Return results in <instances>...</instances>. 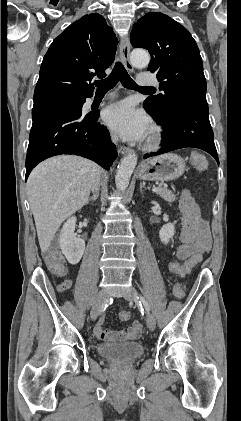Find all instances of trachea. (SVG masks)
Wrapping results in <instances>:
<instances>
[{
    "label": "trachea",
    "mask_w": 241,
    "mask_h": 421,
    "mask_svg": "<svg viewBox=\"0 0 241 421\" xmlns=\"http://www.w3.org/2000/svg\"><path fill=\"white\" fill-rule=\"evenodd\" d=\"M119 81L127 89L140 91L152 89L151 87H139L129 76L122 63L116 62L111 74L107 78L95 82L97 92H107L116 86Z\"/></svg>",
    "instance_id": "obj_1"
}]
</instances>
